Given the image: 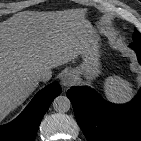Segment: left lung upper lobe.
Instances as JSON below:
<instances>
[{
	"mask_svg": "<svg viewBox=\"0 0 141 141\" xmlns=\"http://www.w3.org/2000/svg\"><path fill=\"white\" fill-rule=\"evenodd\" d=\"M133 42H141V33L138 30L134 31Z\"/></svg>",
	"mask_w": 141,
	"mask_h": 141,
	"instance_id": "obj_1",
	"label": "left lung upper lobe"
}]
</instances>
